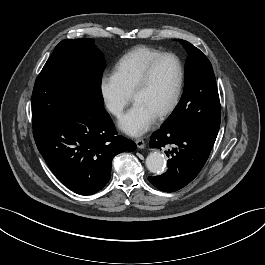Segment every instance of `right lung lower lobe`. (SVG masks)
<instances>
[{
  "mask_svg": "<svg viewBox=\"0 0 265 265\" xmlns=\"http://www.w3.org/2000/svg\"><path fill=\"white\" fill-rule=\"evenodd\" d=\"M113 127L103 104L81 97L33 128V135L54 175L75 193L92 195L109 181L112 159L136 149Z\"/></svg>",
  "mask_w": 265,
  "mask_h": 265,
  "instance_id": "obj_1",
  "label": "right lung lower lobe"
}]
</instances>
